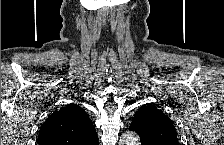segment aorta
<instances>
[{
	"mask_svg": "<svg viewBox=\"0 0 224 145\" xmlns=\"http://www.w3.org/2000/svg\"><path fill=\"white\" fill-rule=\"evenodd\" d=\"M120 145H139V137L133 132L123 133L120 140Z\"/></svg>",
	"mask_w": 224,
	"mask_h": 145,
	"instance_id": "762f6f07",
	"label": "aorta"
}]
</instances>
